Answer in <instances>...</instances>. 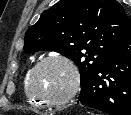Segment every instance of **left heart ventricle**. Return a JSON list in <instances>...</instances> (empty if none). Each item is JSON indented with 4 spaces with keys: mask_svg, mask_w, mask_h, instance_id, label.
<instances>
[{
    "mask_svg": "<svg viewBox=\"0 0 131 115\" xmlns=\"http://www.w3.org/2000/svg\"><path fill=\"white\" fill-rule=\"evenodd\" d=\"M72 75L69 68L58 61L42 65L35 74L34 87L41 95L59 98L70 88Z\"/></svg>",
    "mask_w": 131,
    "mask_h": 115,
    "instance_id": "obj_1",
    "label": "left heart ventricle"
}]
</instances>
